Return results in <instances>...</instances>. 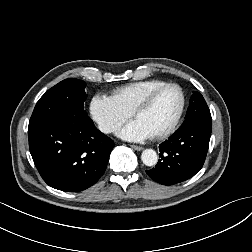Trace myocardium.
<instances>
[{"instance_id": "myocardium-1", "label": "myocardium", "mask_w": 252, "mask_h": 252, "mask_svg": "<svg viewBox=\"0 0 252 252\" xmlns=\"http://www.w3.org/2000/svg\"><path fill=\"white\" fill-rule=\"evenodd\" d=\"M176 88L179 91L180 94V98H181V102H180V107L179 110L173 120V122L171 123V125L164 130L161 133H158L156 135H154L153 137L155 139H165L167 137H169L171 134L174 133V131L176 130L186 107V95L184 90L182 89V87L176 83H165L161 86H158L156 88H154L153 90H151L133 109L132 111V116L136 117V115L147 109L151 103L153 102V100L155 99V97L158 95V93H160L162 90L167 89V88Z\"/></svg>"}]
</instances>
